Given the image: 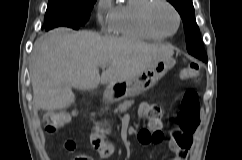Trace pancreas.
Returning <instances> with one entry per match:
<instances>
[{
  "label": "pancreas",
  "instance_id": "obj_1",
  "mask_svg": "<svg viewBox=\"0 0 242 160\" xmlns=\"http://www.w3.org/2000/svg\"><path fill=\"white\" fill-rule=\"evenodd\" d=\"M132 104H133V101L126 100L119 105L118 110L120 112H125L127 109H129L131 107Z\"/></svg>",
  "mask_w": 242,
  "mask_h": 160
}]
</instances>
